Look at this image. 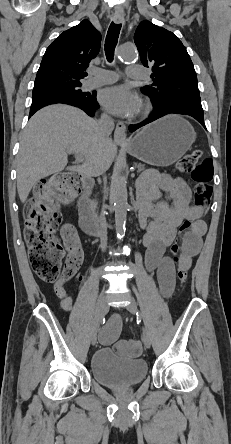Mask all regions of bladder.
I'll use <instances>...</instances> for the list:
<instances>
[{
    "label": "bladder",
    "mask_w": 231,
    "mask_h": 444,
    "mask_svg": "<svg viewBox=\"0 0 231 444\" xmlns=\"http://www.w3.org/2000/svg\"><path fill=\"white\" fill-rule=\"evenodd\" d=\"M92 377L101 385L125 388L139 384L147 375L145 360L120 356L113 348H100L90 361Z\"/></svg>",
    "instance_id": "31cf9c89"
}]
</instances>
